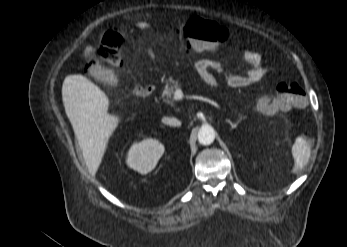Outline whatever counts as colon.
<instances>
[{
    "instance_id": "obj_1",
    "label": "colon",
    "mask_w": 347,
    "mask_h": 247,
    "mask_svg": "<svg viewBox=\"0 0 347 247\" xmlns=\"http://www.w3.org/2000/svg\"><path fill=\"white\" fill-rule=\"evenodd\" d=\"M182 37L197 51L214 52L228 40V30L217 22L193 16L186 20L181 29ZM122 37L118 30L106 31L94 50V59L85 64L90 71L94 64L119 67L122 64ZM305 105V91L296 82L281 83L276 94L262 97L257 109L266 115H274L277 111L299 109Z\"/></svg>"
}]
</instances>
